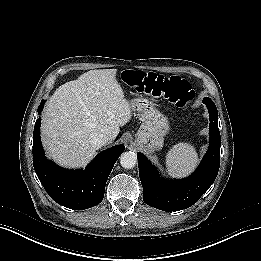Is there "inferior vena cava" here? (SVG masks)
<instances>
[{
    "label": "inferior vena cava",
    "instance_id": "602c4592",
    "mask_svg": "<svg viewBox=\"0 0 261 261\" xmlns=\"http://www.w3.org/2000/svg\"><path fill=\"white\" fill-rule=\"evenodd\" d=\"M109 142V137L105 134L99 133L92 138L94 148L99 149Z\"/></svg>",
    "mask_w": 261,
    "mask_h": 261
}]
</instances>
